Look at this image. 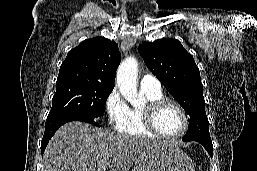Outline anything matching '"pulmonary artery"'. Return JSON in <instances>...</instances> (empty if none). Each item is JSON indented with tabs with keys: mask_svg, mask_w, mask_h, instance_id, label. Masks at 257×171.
I'll use <instances>...</instances> for the list:
<instances>
[{
	"mask_svg": "<svg viewBox=\"0 0 257 171\" xmlns=\"http://www.w3.org/2000/svg\"><path fill=\"white\" fill-rule=\"evenodd\" d=\"M140 85L147 89H160V81L151 74H145L141 78Z\"/></svg>",
	"mask_w": 257,
	"mask_h": 171,
	"instance_id": "e3ab8cb5",
	"label": "pulmonary artery"
}]
</instances>
